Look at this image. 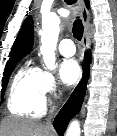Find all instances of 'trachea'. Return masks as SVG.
I'll list each match as a JSON object with an SVG mask.
<instances>
[{"label":"trachea","instance_id":"trachea-1","mask_svg":"<svg viewBox=\"0 0 117 136\" xmlns=\"http://www.w3.org/2000/svg\"><path fill=\"white\" fill-rule=\"evenodd\" d=\"M65 2L68 5H73V4L76 3V0H65ZM72 32H73L74 37L77 40L80 41L82 39V36H83V24H82L81 19H79V17H77V19L73 23Z\"/></svg>","mask_w":117,"mask_h":136}]
</instances>
